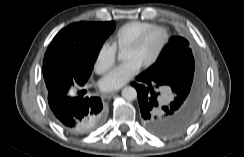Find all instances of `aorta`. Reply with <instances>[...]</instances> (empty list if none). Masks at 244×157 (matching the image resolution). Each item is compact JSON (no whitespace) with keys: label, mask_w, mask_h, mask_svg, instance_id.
Wrapping results in <instances>:
<instances>
[{"label":"aorta","mask_w":244,"mask_h":157,"mask_svg":"<svg viewBox=\"0 0 244 157\" xmlns=\"http://www.w3.org/2000/svg\"><path fill=\"white\" fill-rule=\"evenodd\" d=\"M122 97L127 101H132L137 98V91L134 87L127 86L122 90Z\"/></svg>","instance_id":"obj_1"}]
</instances>
